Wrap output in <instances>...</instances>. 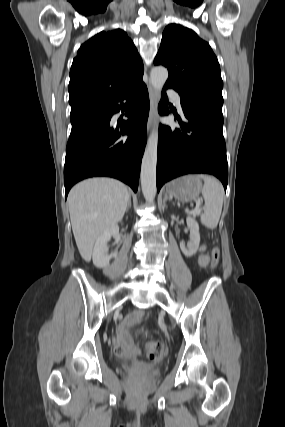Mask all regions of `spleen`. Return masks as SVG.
Masks as SVG:
<instances>
[{"label":"spleen","mask_w":285,"mask_h":427,"mask_svg":"<svg viewBox=\"0 0 285 427\" xmlns=\"http://www.w3.org/2000/svg\"><path fill=\"white\" fill-rule=\"evenodd\" d=\"M204 181L202 195L204 198V213L201 214V222L207 228L217 227L222 212L224 191L220 182L209 175L197 176Z\"/></svg>","instance_id":"spleen-1"}]
</instances>
